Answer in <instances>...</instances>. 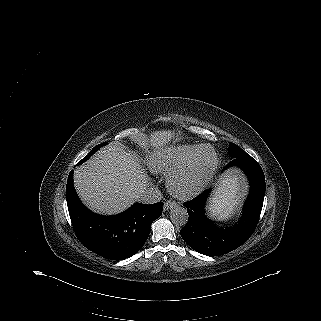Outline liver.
I'll list each match as a JSON object with an SVG mask.
<instances>
[{"mask_svg":"<svg viewBox=\"0 0 321 321\" xmlns=\"http://www.w3.org/2000/svg\"><path fill=\"white\" fill-rule=\"evenodd\" d=\"M173 132L158 131L151 135V144L161 145ZM75 189L81 200L94 212L117 214L140 199L148 180L137 158L122 145L113 144L101 149L86 164L74 172ZM229 196L221 189L214 199Z\"/></svg>","mask_w":321,"mask_h":321,"instance_id":"obj_1","label":"liver"}]
</instances>
